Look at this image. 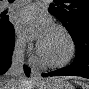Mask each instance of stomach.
Segmentation results:
<instances>
[{
	"label": "stomach",
	"mask_w": 89,
	"mask_h": 89,
	"mask_svg": "<svg viewBox=\"0 0 89 89\" xmlns=\"http://www.w3.org/2000/svg\"><path fill=\"white\" fill-rule=\"evenodd\" d=\"M38 89H75L73 85L64 81L62 83L50 81L44 85H39Z\"/></svg>",
	"instance_id": "stomach-1"
}]
</instances>
